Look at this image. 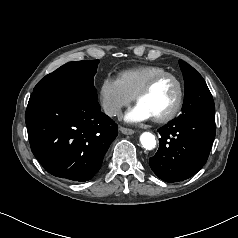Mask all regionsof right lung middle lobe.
<instances>
[{
    "label": "right lung middle lobe",
    "instance_id": "dd1d6c3e",
    "mask_svg": "<svg viewBox=\"0 0 238 238\" xmlns=\"http://www.w3.org/2000/svg\"><path fill=\"white\" fill-rule=\"evenodd\" d=\"M98 63L99 60H83L66 63L42 78L35 86L33 93L79 90L97 99L93 82Z\"/></svg>",
    "mask_w": 238,
    "mask_h": 238
}]
</instances>
